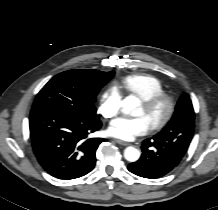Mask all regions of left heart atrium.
<instances>
[{
	"instance_id": "1",
	"label": "left heart atrium",
	"mask_w": 218,
	"mask_h": 210,
	"mask_svg": "<svg viewBox=\"0 0 218 210\" xmlns=\"http://www.w3.org/2000/svg\"><path fill=\"white\" fill-rule=\"evenodd\" d=\"M150 129L147 120L140 116L137 118H118L112 121L108 127L111 137L130 141L137 136L145 135Z\"/></svg>"
}]
</instances>
